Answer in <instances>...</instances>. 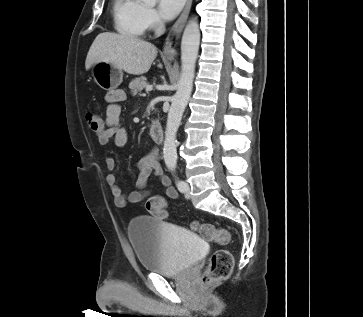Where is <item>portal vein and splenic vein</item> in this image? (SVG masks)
Listing matches in <instances>:
<instances>
[{
	"mask_svg": "<svg viewBox=\"0 0 363 317\" xmlns=\"http://www.w3.org/2000/svg\"><path fill=\"white\" fill-rule=\"evenodd\" d=\"M153 88H152V86H150V85H148L147 87H146V91L148 92V91H151Z\"/></svg>",
	"mask_w": 363,
	"mask_h": 317,
	"instance_id": "obj_1",
	"label": "portal vein and splenic vein"
}]
</instances>
